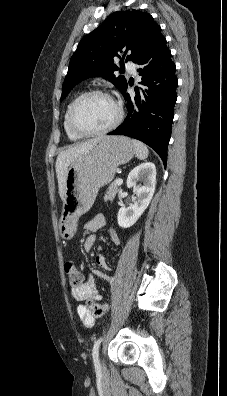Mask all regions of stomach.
<instances>
[{"instance_id":"1","label":"stomach","mask_w":227,"mask_h":396,"mask_svg":"<svg viewBox=\"0 0 227 396\" xmlns=\"http://www.w3.org/2000/svg\"><path fill=\"white\" fill-rule=\"evenodd\" d=\"M134 154L129 138L105 136L70 164L58 224L62 239L73 238L78 218L92 207L99 188L109 184L116 168L129 162Z\"/></svg>"}]
</instances>
